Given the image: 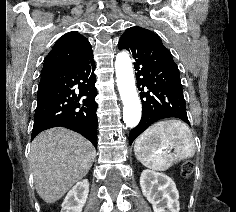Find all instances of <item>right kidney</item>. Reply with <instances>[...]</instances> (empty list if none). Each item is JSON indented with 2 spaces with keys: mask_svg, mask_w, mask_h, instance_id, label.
Segmentation results:
<instances>
[{
  "mask_svg": "<svg viewBox=\"0 0 236 212\" xmlns=\"http://www.w3.org/2000/svg\"><path fill=\"white\" fill-rule=\"evenodd\" d=\"M89 193L87 179L78 182L66 195L61 212H82Z\"/></svg>",
  "mask_w": 236,
  "mask_h": 212,
  "instance_id": "obj_1",
  "label": "right kidney"
}]
</instances>
